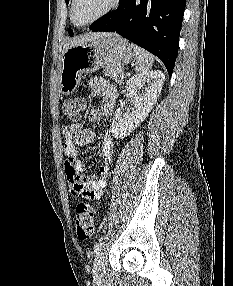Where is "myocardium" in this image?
<instances>
[{"label":"myocardium","mask_w":233,"mask_h":286,"mask_svg":"<svg viewBox=\"0 0 233 286\" xmlns=\"http://www.w3.org/2000/svg\"><path fill=\"white\" fill-rule=\"evenodd\" d=\"M121 0H112L110 6L104 10L102 13H100L98 16H96L95 18H93L92 20L83 23V24H79L75 21L74 18V8H75V4H76V0H71V6H70V19L71 22L77 26V27H87L92 25L93 23L97 22L98 20L102 19L103 17H105L106 15H108L109 13H111L112 11H114L119 5H120Z\"/></svg>","instance_id":"myocardium-1"}]
</instances>
